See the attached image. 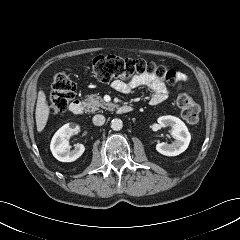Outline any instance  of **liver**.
Returning <instances> with one entry per match:
<instances>
[{
    "label": "liver",
    "instance_id": "liver-1",
    "mask_svg": "<svg viewBox=\"0 0 240 240\" xmlns=\"http://www.w3.org/2000/svg\"><path fill=\"white\" fill-rule=\"evenodd\" d=\"M49 106L46 103V96L43 91H40L38 94L37 105H36V126L37 131L42 132L46 126L49 117Z\"/></svg>",
    "mask_w": 240,
    "mask_h": 240
}]
</instances>
